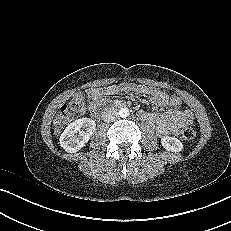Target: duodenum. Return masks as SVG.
Listing matches in <instances>:
<instances>
[{
    "instance_id": "obj_1",
    "label": "duodenum",
    "mask_w": 231,
    "mask_h": 231,
    "mask_svg": "<svg viewBox=\"0 0 231 231\" xmlns=\"http://www.w3.org/2000/svg\"><path fill=\"white\" fill-rule=\"evenodd\" d=\"M115 106L120 108V107H123L124 104L122 102H116ZM110 111H111V108H108L107 110H105V113H109Z\"/></svg>"
}]
</instances>
